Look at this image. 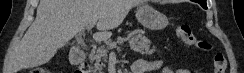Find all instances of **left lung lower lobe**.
Masks as SVG:
<instances>
[{
	"mask_svg": "<svg viewBox=\"0 0 244 73\" xmlns=\"http://www.w3.org/2000/svg\"><path fill=\"white\" fill-rule=\"evenodd\" d=\"M195 2V1H194ZM201 4H203V0H201V2H200ZM206 9V8H205Z\"/></svg>",
	"mask_w": 244,
	"mask_h": 73,
	"instance_id": "1",
	"label": "left lung lower lobe"
}]
</instances>
